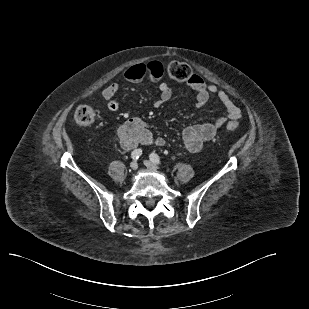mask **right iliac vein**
Here are the masks:
<instances>
[{"label":"right iliac vein","instance_id":"right-iliac-vein-1","mask_svg":"<svg viewBox=\"0 0 309 309\" xmlns=\"http://www.w3.org/2000/svg\"><path fill=\"white\" fill-rule=\"evenodd\" d=\"M130 168L132 170H136L138 168V163L137 161H132L131 164H130Z\"/></svg>","mask_w":309,"mask_h":309}]
</instances>
